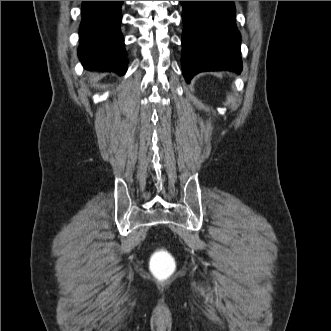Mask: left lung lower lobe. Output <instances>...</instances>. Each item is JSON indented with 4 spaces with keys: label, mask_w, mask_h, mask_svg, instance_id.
<instances>
[{
    "label": "left lung lower lobe",
    "mask_w": 331,
    "mask_h": 331,
    "mask_svg": "<svg viewBox=\"0 0 331 331\" xmlns=\"http://www.w3.org/2000/svg\"><path fill=\"white\" fill-rule=\"evenodd\" d=\"M182 69L185 80L203 71H242L240 34L233 1H180Z\"/></svg>",
    "instance_id": "obj_1"
}]
</instances>
